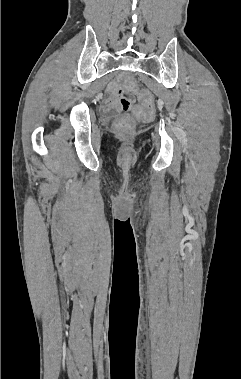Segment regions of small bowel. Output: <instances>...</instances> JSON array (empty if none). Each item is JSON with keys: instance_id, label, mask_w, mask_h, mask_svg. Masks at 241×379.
<instances>
[{"instance_id": "obj_1", "label": "small bowel", "mask_w": 241, "mask_h": 379, "mask_svg": "<svg viewBox=\"0 0 241 379\" xmlns=\"http://www.w3.org/2000/svg\"><path fill=\"white\" fill-rule=\"evenodd\" d=\"M117 91H116V86L115 85H111L107 91V94H106V98H105V101H104V105L106 108H112L114 106V102L116 100V95Z\"/></svg>"}]
</instances>
